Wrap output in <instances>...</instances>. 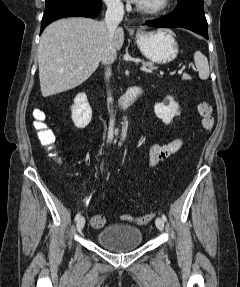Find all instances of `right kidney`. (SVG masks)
Here are the masks:
<instances>
[{"mask_svg":"<svg viewBox=\"0 0 240 287\" xmlns=\"http://www.w3.org/2000/svg\"><path fill=\"white\" fill-rule=\"evenodd\" d=\"M72 120L77 128H85L91 121L92 109L89 106L87 96L85 93H79L71 107Z\"/></svg>","mask_w":240,"mask_h":287,"instance_id":"1","label":"right kidney"}]
</instances>
